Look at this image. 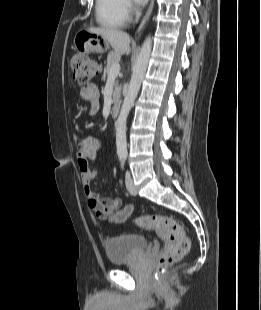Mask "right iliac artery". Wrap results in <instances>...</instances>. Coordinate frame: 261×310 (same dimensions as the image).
I'll list each match as a JSON object with an SVG mask.
<instances>
[{
	"mask_svg": "<svg viewBox=\"0 0 261 310\" xmlns=\"http://www.w3.org/2000/svg\"><path fill=\"white\" fill-rule=\"evenodd\" d=\"M120 160H121V168L123 169L124 168V158H120Z\"/></svg>",
	"mask_w": 261,
	"mask_h": 310,
	"instance_id": "1",
	"label": "right iliac artery"
}]
</instances>
